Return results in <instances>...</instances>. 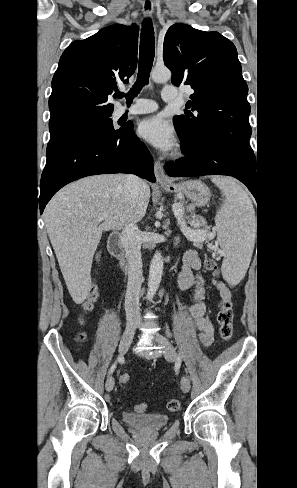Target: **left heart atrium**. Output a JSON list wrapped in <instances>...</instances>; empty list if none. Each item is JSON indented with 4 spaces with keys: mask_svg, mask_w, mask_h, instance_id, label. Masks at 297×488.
Listing matches in <instances>:
<instances>
[{
    "mask_svg": "<svg viewBox=\"0 0 297 488\" xmlns=\"http://www.w3.org/2000/svg\"><path fill=\"white\" fill-rule=\"evenodd\" d=\"M138 132L142 138L164 152L170 151L176 144L173 126L160 115L142 121Z\"/></svg>",
    "mask_w": 297,
    "mask_h": 488,
    "instance_id": "39dd6f15",
    "label": "left heart atrium"
}]
</instances>
